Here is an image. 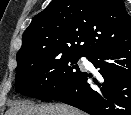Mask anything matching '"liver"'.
<instances>
[{"label":"liver","instance_id":"6515ba94","mask_svg":"<svg viewBox=\"0 0 131 115\" xmlns=\"http://www.w3.org/2000/svg\"><path fill=\"white\" fill-rule=\"evenodd\" d=\"M6 115H84L81 111L63 104L35 105L29 101L14 103Z\"/></svg>","mask_w":131,"mask_h":115}]
</instances>
